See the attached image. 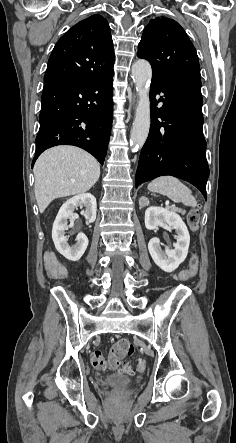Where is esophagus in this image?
I'll return each mask as SVG.
<instances>
[{
  "mask_svg": "<svg viewBox=\"0 0 236 443\" xmlns=\"http://www.w3.org/2000/svg\"><path fill=\"white\" fill-rule=\"evenodd\" d=\"M133 101L135 102V95H134Z\"/></svg>",
  "mask_w": 236,
  "mask_h": 443,
  "instance_id": "esophagus-1",
  "label": "esophagus"
}]
</instances>
